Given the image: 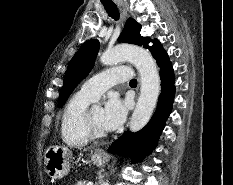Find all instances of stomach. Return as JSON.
Here are the masks:
<instances>
[{
    "label": "stomach",
    "instance_id": "obj_1",
    "mask_svg": "<svg viewBox=\"0 0 233 185\" xmlns=\"http://www.w3.org/2000/svg\"><path fill=\"white\" fill-rule=\"evenodd\" d=\"M91 161L102 166L106 162V157L98 152L91 155ZM73 162L72 152L65 147L50 146L44 154V169L52 179H61L66 176Z\"/></svg>",
    "mask_w": 233,
    "mask_h": 185
}]
</instances>
